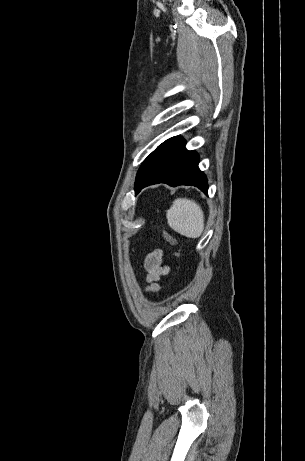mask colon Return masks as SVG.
Listing matches in <instances>:
<instances>
[{"label":"colon","mask_w":305,"mask_h":461,"mask_svg":"<svg viewBox=\"0 0 305 461\" xmlns=\"http://www.w3.org/2000/svg\"><path fill=\"white\" fill-rule=\"evenodd\" d=\"M162 236H163V239H164L167 243H169V244H171V245H173V246H176V245H177L176 239H175L170 233H168V232H166V231H163V232H162ZM176 257H177L178 259H179V257H180V252H179V250L176 251Z\"/></svg>","instance_id":"1"}]
</instances>
